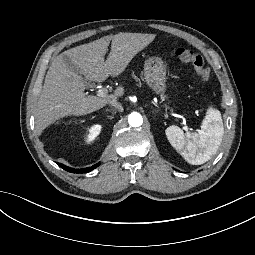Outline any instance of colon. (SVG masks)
Returning a JSON list of instances; mask_svg holds the SVG:
<instances>
[{
	"mask_svg": "<svg viewBox=\"0 0 255 255\" xmlns=\"http://www.w3.org/2000/svg\"><path fill=\"white\" fill-rule=\"evenodd\" d=\"M175 56L183 62L190 63L194 67V70L200 80L205 82L209 79V68L204 59L195 51L183 46H179L175 49Z\"/></svg>",
	"mask_w": 255,
	"mask_h": 255,
	"instance_id": "obj_1",
	"label": "colon"
}]
</instances>
